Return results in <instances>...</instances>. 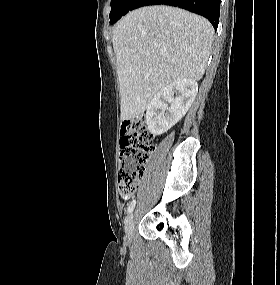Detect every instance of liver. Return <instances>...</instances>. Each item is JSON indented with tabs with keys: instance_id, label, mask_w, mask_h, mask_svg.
Segmentation results:
<instances>
[{
	"instance_id": "obj_1",
	"label": "liver",
	"mask_w": 280,
	"mask_h": 285,
	"mask_svg": "<svg viewBox=\"0 0 280 285\" xmlns=\"http://www.w3.org/2000/svg\"><path fill=\"white\" fill-rule=\"evenodd\" d=\"M213 36L207 19L179 8L150 6L125 15L112 37L121 119L143 113L160 89L178 79L200 80Z\"/></svg>"
}]
</instances>
